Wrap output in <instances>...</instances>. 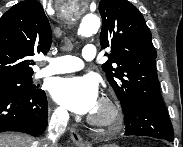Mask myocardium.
Listing matches in <instances>:
<instances>
[{
    "mask_svg": "<svg viewBox=\"0 0 183 147\" xmlns=\"http://www.w3.org/2000/svg\"><path fill=\"white\" fill-rule=\"evenodd\" d=\"M102 114L91 113L88 122L96 127H109L120 124L123 121V113L120 104L114 98L104 96L99 101Z\"/></svg>",
    "mask_w": 183,
    "mask_h": 147,
    "instance_id": "1",
    "label": "myocardium"
}]
</instances>
